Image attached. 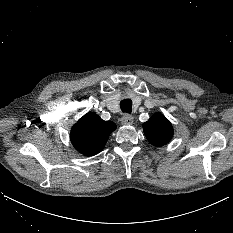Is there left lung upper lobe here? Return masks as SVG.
I'll use <instances>...</instances> for the list:
<instances>
[{"instance_id":"5c2ea615","label":"left lung upper lobe","mask_w":233,"mask_h":233,"mask_svg":"<svg viewBox=\"0 0 233 233\" xmlns=\"http://www.w3.org/2000/svg\"><path fill=\"white\" fill-rule=\"evenodd\" d=\"M143 129L149 142L155 146L165 145L173 136L171 123L160 113L154 114L145 122Z\"/></svg>"}]
</instances>
